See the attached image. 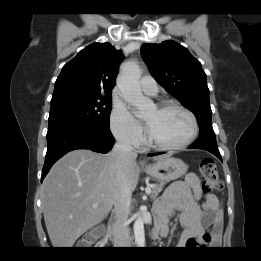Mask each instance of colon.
<instances>
[{
	"mask_svg": "<svg viewBox=\"0 0 261 261\" xmlns=\"http://www.w3.org/2000/svg\"><path fill=\"white\" fill-rule=\"evenodd\" d=\"M200 173L202 177V189L204 192L220 191L222 190V182L219 179L218 171L215 162L211 158H203L200 162ZM93 243V240H89L84 243L85 246H89ZM206 243V239H193L189 242V246L203 245Z\"/></svg>",
	"mask_w": 261,
	"mask_h": 261,
	"instance_id": "obj_1",
	"label": "colon"
}]
</instances>
